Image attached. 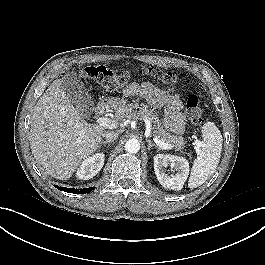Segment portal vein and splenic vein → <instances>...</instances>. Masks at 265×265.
<instances>
[{
	"mask_svg": "<svg viewBox=\"0 0 265 265\" xmlns=\"http://www.w3.org/2000/svg\"><path fill=\"white\" fill-rule=\"evenodd\" d=\"M96 122L100 126H103L104 128H107V129H114L117 127L116 121L111 120L107 117H99V118H97ZM148 125H149V123H148ZM149 127H150V125H149ZM153 140L160 148H162L164 150H169V149L173 148V146L171 144L165 143L157 137L153 138ZM195 144H196L197 148H199L201 146V142L198 140L195 141Z\"/></svg>",
	"mask_w": 265,
	"mask_h": 265,
	"instance_id": "obj_1",
	"label": "portal vein and splenic vein"
}]
</instances>
